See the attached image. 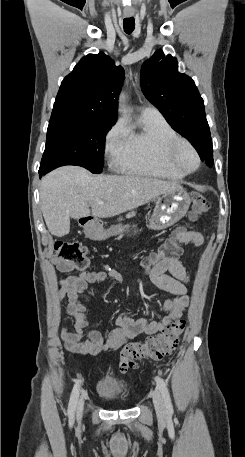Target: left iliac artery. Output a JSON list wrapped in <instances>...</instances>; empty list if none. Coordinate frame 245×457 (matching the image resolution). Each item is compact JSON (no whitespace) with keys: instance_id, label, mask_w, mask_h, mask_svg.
I'll return each mask as SVG.
<instances>
[{"instance_id":"1","label":"left iliac artery","mask_w":245,"mask_h":457,"mask_svg":"<svg viewBox=\"0 0 245 457\" xmlns=\"http://www.w3.org/2000/svg\"><path fill=\"white\" fill-rule=\"evenodd\" d=\"M156 382H157V386L162 394V397L164 399V403H165V406H166V411L168 414H172L173 413V406H172V403H171V398H170V394H169V391H168V388H167V385L166 383L164 382V380L160 377H156L155 378Z\"/></svg>"}]
</instances>
